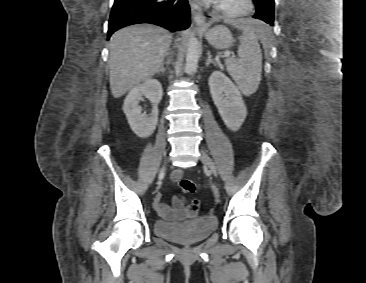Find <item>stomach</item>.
<instances>
[{"label":"stomach","mask_w":366,"mask_h":283,"mask_svg":"<svg viewBox=\"0 0 366 283\" xmlns=\"http://www.w3.org/2000/svg\"><path fill=\"white\" fill-rule=\"evenodd\" d=\"M204 35L208 43L216 49H228L234 42L230 31L224 26L211 28L205 31Z\"/></svg>","instance_id":"0dacf381"}]
</instances>
